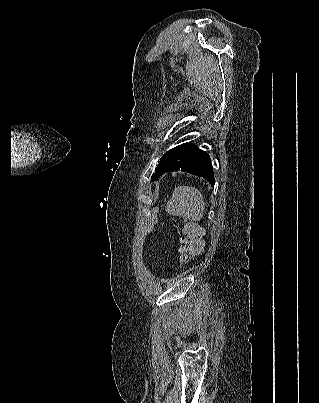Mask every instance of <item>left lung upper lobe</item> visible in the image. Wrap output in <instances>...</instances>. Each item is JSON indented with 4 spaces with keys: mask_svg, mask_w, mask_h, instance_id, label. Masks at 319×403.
I'll list each match as a JSON object with an SVG mask.
<instances>
[{
    "mask_svg": "<svg viewBox=\"0 0 319 403\" xmlns=\"http://www.w3.org/2000/svg\"><path fill=\"white\" fill-rule=\"evenodd\" d=\"M179 146L174 147L172 149H170L169 151H167L161 158L159 161L158 166L155 169V172L152 175V180H156L158 178L159 175H162L164 173V170L166 169V167L168 166L172 156L175 154V152L177 151Z\"/></svg>",
    "mask_w": 319,
    "mask_h": 403,
    "instance_id": "left-lung-upper-lobe-1",
    "label": "left lung upper lobe"
}]
</instances>
